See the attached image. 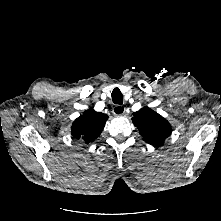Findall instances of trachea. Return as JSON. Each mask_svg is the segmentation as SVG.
Returning a JSON list of instances; mask_svg holds the SVG:
<instances>
[{"instance_id": "3493384b", "label": "trachea", "mask_w": 221, "mask_h": 221, "mask_svg": "<svg viewBox=\"0 0 221 221\" xmlns=\"http://www.w3.org/2000/svg\"><path fill=\"white\" fill-rule=\"evenodd\" d=\"M111 96H112V101L114 104L122 105L123 95L119 88L113 89Z\"/></svg>"}]
</instances>
